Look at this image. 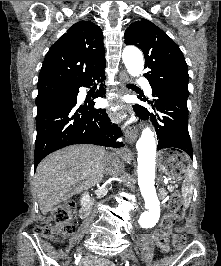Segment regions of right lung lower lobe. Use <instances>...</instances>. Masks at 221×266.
<instances>
[{
  "mask_svg": "<svg viewBox=\"0 0 221 266\" xmlns=\"http://www.w3.org/2000/svg\"><path fill=\"white\" fill-rule=\"evenodd\" d=\"M103 79L104 71L38 108L34 169L45 156L68 145L95 144L114 148L123 145L117 142L122 135L120 129L111 125L105 109H94V102L84 105L77 103L79 87H87L94 80ZM103 95L101 87L93 98Z\"/></svg>",
  "mask_w": 221,
  "mask_h": 266,
  "instance_id": "obj_1",
  "label": "right lung lower lobe"
}]
</instances>
